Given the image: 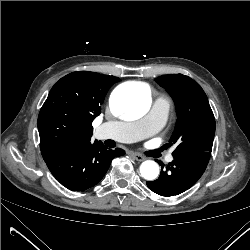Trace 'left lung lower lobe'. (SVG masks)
Returning a JSON list of instances; mask_svg holds the SVG:
<instances>
[{"mask_svg": "<svg viewBox=\"0 0 250 250\" xmlns=\"http://www.w3.org/2000/svg\"><path fill=\"white\" fill-rule=\"evenodd\" d=\"M210 152H191L174 157L159 178L148 181L147 186L161 196H174L192 187L204 173ZM163 167V166H162Z\"/></svg>", "mask_w": 250, "mask_h": 250, "instance_id": "1", "label": "left lung lower lobe"}]
</instances>
